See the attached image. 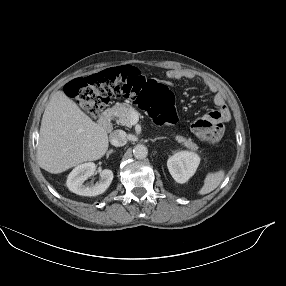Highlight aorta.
Segmentation results:
<instances>
[{"label":"aorta","instance_id":"1","mask_svg":"<svg viewBox=\"0 0 286 286\" xmlns=\"http://www.w3.org/2000/svg\"><path fill=\"white\" fill-rule=\"evenodd\" d=\"M148 154V149L145 145L138 144L133 148V155L137 159H144Z\"/></svg>","mask_w":286,"mask_h":286}]
</instances>
